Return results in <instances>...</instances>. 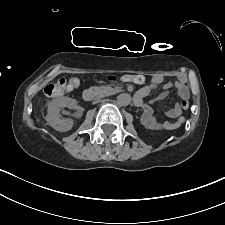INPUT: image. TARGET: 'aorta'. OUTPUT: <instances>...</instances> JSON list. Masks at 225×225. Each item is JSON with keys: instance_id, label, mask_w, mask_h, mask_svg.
I'll return each instance as SVG.
<instances>
[{"instance_id": "obj_1", "label": "aorta", "mask_w": 225, "mask_h": 225, "mask_svg": "<svg viewBox=\"0 0 225 225\" xmlns=\"http://www.w3.org/2000/svg\"><path fill=\"white\" fill-rule=\"evenodd\" d=\"M131 102V96L127 93H122L117 96V103L120 106H127Z\"/></svg>"}]
</instances>
